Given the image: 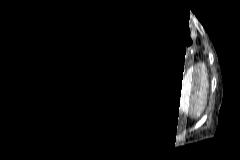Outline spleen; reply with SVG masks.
<instances>
[{
	"instance_id": "obj_1",
	"label": "spleen",
	"mask_w": 240,
	"mask_h": 160,
	"mask_svg": "<svg viewBox=\"0 0 240 160\" xmlns=\"http://www.w3.org/2000/svg\"><path fill=\"white\" fill-rule=\"evenodd\" d=\"M206 91V74L202 67L194 68L186 76L180 97V108L192 116L203 109Z\"/></svg>"
}]
</instances>
